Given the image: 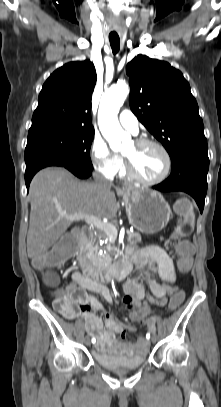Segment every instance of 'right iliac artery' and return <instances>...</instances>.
Wrapping results in <instances>:
<instances>
[{"instance_id": "1", "label": "right iliac artery", "mask_w": 221, "mask_h": 407, "mask_svg": "<svg viewBox=\"0 0 221 407\" xmlns=\"http://www.w3.org/2000/svg\"><path fill=\"white\" fill-rule=\"evenodd\" d=\"M92 342H93V343L95 342V339H94V338L92 339Z\"/></svg>"}]
</instances>
